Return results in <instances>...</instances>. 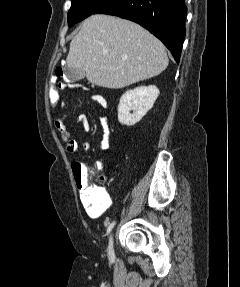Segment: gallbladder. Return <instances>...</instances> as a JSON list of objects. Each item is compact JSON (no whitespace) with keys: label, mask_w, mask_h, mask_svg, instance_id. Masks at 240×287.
Here are the masks:
<instances>
[{"label":"gallbladder","mask_w":240,"mask_h":287,"mask_svg":"<svg viewBox=\"0 0 240 287\" xmlns=\"http://www.w3.org/2000/svg\"><path fill=\"white\" fill-rule=\"evenodd\" d=\"M65 78L71 82L79 81L85 78L86 73L82 69L77 68H64Z\"/></svg>","instance_id":"bac80fb5"}]
</instances>
